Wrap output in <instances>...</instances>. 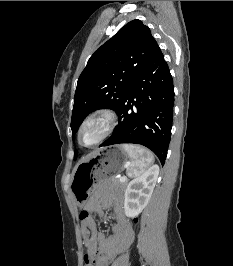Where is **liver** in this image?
Returning a JSON list of instances; mask_svg holds the SVG:
<instances>
[{
  "instance_id": "obj_1",
  "label": "liver",
  "mask_w": 233,
  "mask_h": 266,
  "mask_svg": "<svg viewBox=\"0 0 233 266\" xmlns=\"http://www.w3.org/2000/svg\"><path fill=\"white\" fill-rule=\"evenodd\" d=\"M93 155H94V153L89 154L85 159H83V161L89 160Z\"/></svg>"
}]
</instances>
